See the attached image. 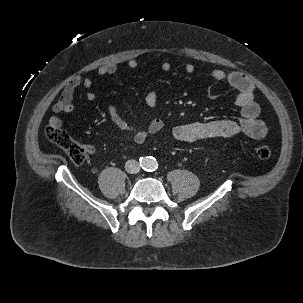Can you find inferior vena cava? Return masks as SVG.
I'll use <instances>...</instances> for the list:
<instances>
[{"label":"inferior vena cava","mask_w":303,"mask_h":303,"mask_svg":"<svg viewBox=\"0 0 303 303\" xmlns=\"http://www.w3.org/2000/svg\"><path fill=\"white\" fill-rule=\"evenodd\" d=\"M125 169L128 173L136 174L140 171V165L136 160H128L125 164Z\"/></svg>","instance_id":"inferior-vena-cava-1"}]
</instances>
